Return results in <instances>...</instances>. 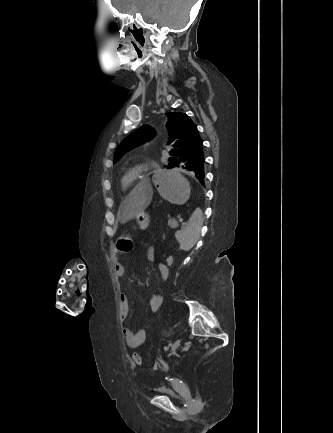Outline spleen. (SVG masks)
Returning <instances> with one entry per match:
<instances>
[{"label":"spleen","mask_w":333,"mask_h":433,"mask_svg":"<svg viewBox=\"0 0 333 433\" xmlns=\"http://www.w3.org/2000/svg\"><path fill=\"white\" fill-rule=\"evenodd\" d=\"M203 213L199 206L193 208L192 216L189 219L188 225L175 233V237L180 244V248L184 251H189L199 240Z\"/></svg>","instance_id":"1"}]
</instances>
